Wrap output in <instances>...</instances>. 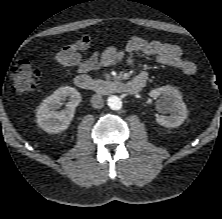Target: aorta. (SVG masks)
Wrapping results in <instances>:
<instances>
[{"label":"aorta","instance_id":"762f6f07","mask_svg":"<svg viewBox=\"0 0 222 219\" xmlns=\"http://www.w3.org/2000/svg\"><path fill=\"white\" fill-rule=\"evenodd\" d=\"M108 102V106L112 109V110H119L122 107V101L119 97L117 96H110L107 100Z\"/></svg>","mask_w":222,"mask_h":219}]
</instances>
